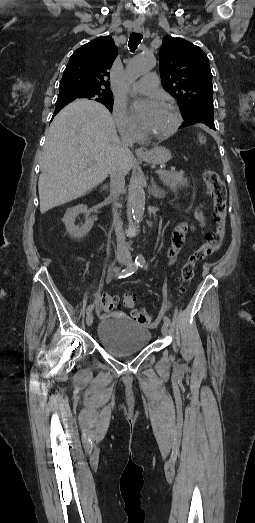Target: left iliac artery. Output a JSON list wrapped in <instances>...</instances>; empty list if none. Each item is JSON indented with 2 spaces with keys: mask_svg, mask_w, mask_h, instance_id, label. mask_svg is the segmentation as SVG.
<instances>
[{
  "mask_svg": "<svg viewBox=\"0 0 255 523\" xmlns=\"http://www.w3.org/2000/svg\"><path fill=\"white\" fill-rule=\"evenodd\" d=\"M139 266L140 267H144L145 266V260L144 259L139 260ZM164 323H166L168 326L171 324V321H170L169 317L164 316Z\"/></svg>",
  "mask_w": 255,
  "mask_h": 523,
  "instance_id": "obj_1",
  "label": "left iliac artery"
}]
</instances>
